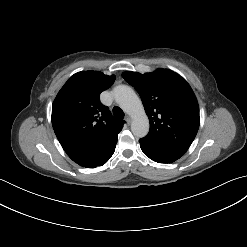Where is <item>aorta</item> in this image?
<instances>
[{
	"label": "aorta",
	"mask_w": 247,
	"mask_h": 247,
	"mask_svg": "<svg viewBox=\"0 0 247 247\" xmlns=\"http://www.w3.org/2000/svg\"><path fill=\"white\" fill-rule=\"evenodd\" d=\"M114 99L120 108L132 118L131 131L135 137L141 138L149 131V120L143 104L132 88L119 85L114 89Z\"/></svg>",
	"instance_id": "1"
}]
</instances>
